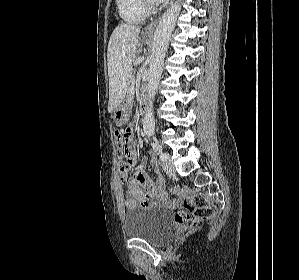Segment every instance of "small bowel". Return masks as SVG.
<instances>
[{"label": "small bowel", "mask_w": 299, "mask_h": 280, "mask_svg": "<svg viewBox=\"0 0 299 280\" xmlns=\"http://www.w3.org/2000/svg\"><path fill=\"white\" fill-rule=\"evenodd\" d=\"M133 150V159L136 163V154ZM145 164V160L141 165ZM152 168L157 171L156 161L151 162ZM128 193L124 197V205L126 208L132 209L140 205L143 208L153 206H177L180 203V198H169L165 191L164 182L162 179L153 180L149 177L146 171L141 167L134 174V177L127 183Z\"/></svg>", "instance_id": "small-bowel-1"}]
</instances>
